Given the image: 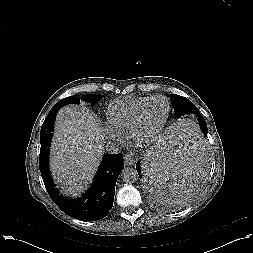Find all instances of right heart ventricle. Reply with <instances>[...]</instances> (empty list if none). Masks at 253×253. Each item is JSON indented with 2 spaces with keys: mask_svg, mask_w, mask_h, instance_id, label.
Wrapping results in <instances>:
<instances>
[{
  "mask_svg": "<svg viewBox=\"0 0 253 253\" xmlns=\"http://www.w3.org/2000/svg\"><path fill=\"white\" fill-rule=\"evenodd\" d=\"M150 97L125 96L111 102L107 111V121L111 130L119 135H128L139 108Z\"/></svg>",
  "mask_w": 253,
  "mask_h": 253,
  "instance_id": "e07e8e85",
  "label": "right heart ventricle"
}]
</instances>
